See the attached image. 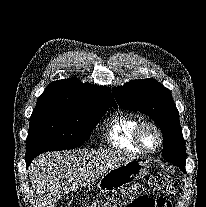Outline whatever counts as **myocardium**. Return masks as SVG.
Masks as SVG:
<instances>
[{
    "instance_id": "1",
    "label": "myocardium",
    "mask_w": 206,
    "mask_h": 207,
    "mask_svg": "<svg viewBox=\"0 0 206 207\" xmlns=\"http://www.w3.org/2000/svg\"><path fill=\"white\" fill-rule=\"evenodd\" d=\"M144 127H151L152 129L155 130L158 136L157 145L152 149L147 148L143 144L141 133ZM163 141H164L163 132L161 128L155 122L150 121V120H144V121L139 122L138 125L136 126L135 131H134V142L142 152L147 153V154H152V153L157 152L161 148Z\"/></svg>"
}]
</instances>
